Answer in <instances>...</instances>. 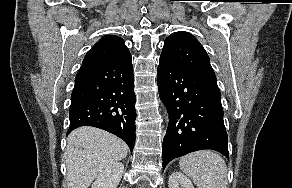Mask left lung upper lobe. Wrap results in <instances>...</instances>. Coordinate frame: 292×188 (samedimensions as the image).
<instances>
[{"label": "left lung upper lobe", "mask_w": 292, "mask_h": 188, "mask_svg": "<svg viewBox=\"0 0 292 188\" xmlns=\"http://www.w3.org/2000/svg\"><path fill=\"white\" fill-rule=\"evenodd\" d=\"M160 59L205 78L216 80L209 56L197 39L188 32H176L165 39Z\"/></svg>", "instance_id": "obj_1"}]
</instances>
